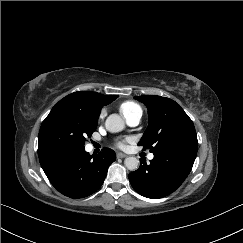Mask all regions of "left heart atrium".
<instances>
[{"label":"left heart atrium","instance_id":"obj_1","mask_svg":"<svg viewBox=\"0 0 243 243\" xmlns=\"http://www.w3.org/2000/svg\"><path fill=\"white\" fill-rule=\"evenodd\" d=\"M118 147L120 148H124L125 147V142L124 141H120L117 143Z\"/></svg>","mask_w":243,"mask_h":243}]
</instances>
